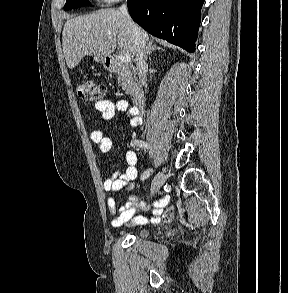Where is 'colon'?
Masks as SVG:
<instances>
[{"label":"colon","mask_w":288,"mask_h":293,"mask_svg":"<svg viewBox=\"0 0 288 293\" xmlns=\"http://www.w3.org/2000/svg\"><path fill=\"white\" fill-rule=\"evenodd\" d=\"M76 92L82 100L98 103L103 99L105 86L91 80L82 81L77 85ZM173 214V208H169L164 214L165 220L169 221L173 217Z\"/></svg>","instance_id":"colon-1"}]
</instances>
